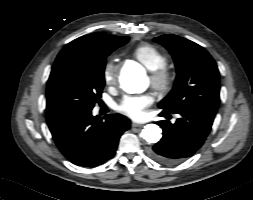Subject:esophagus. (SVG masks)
Instances as JSON below:
<instances>
[{"label":"esophagus","instance_id":"obj_1","mask_svg":"<svg viewBox=\"0 0 253 200\" xmlns=\"http://www.w3.org/2000/svg\"><path fill=\"white\" fill-rule=\"evenodd\" d=\"M140 126H142L141 123H137V122L132 123V127H140Z\"/></svg>","mask_w":253,"mask_h":200}]
</instances>
